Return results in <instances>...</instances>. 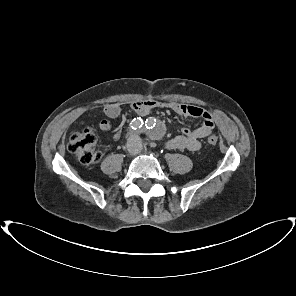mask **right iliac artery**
<instances>
[{"label": "right iliac artery", "instance_id": "right-iliac-artery-1", "mask_svg": "<svg viewBox=\"0 0 296 296\" xmlns=\"http://www.w3.org/2000/svg\"><path fill=\"white\" fill-rule=\"evenodd\" d=\"M143 126V121L140 118H134L132 123L130 124L131 129L137 130Z\"/></svg>", "mask_w": 296, "mask_h": 296}]
</instances>
